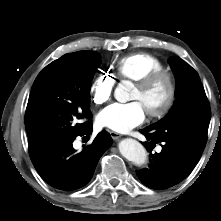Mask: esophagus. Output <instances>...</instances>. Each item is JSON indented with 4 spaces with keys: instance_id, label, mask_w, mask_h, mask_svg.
<instances>
[{
    "instance_id": "esophagus-1",
    "label": "esophagus",
    "mask_w": 221,
    "mask_h": 221,
    "mask_svg": "<svg viewBox=\"0 0 221 221\" xmlns=\"http://www.w3.org/2000/svg\"><path fill=\"white\" fill-rule=\"evenodd\" d=\"M111 137L114 139V140H117L121 137V134L117 133V132H114V131H110L109 132Z\"/></svg>"
}]
</instances>
